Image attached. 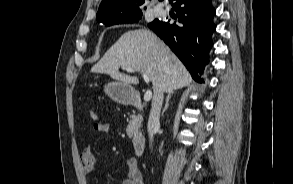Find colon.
I'll list each match as a JSON object with an SVG mask.
<instances>
[{
  "label": "colon",
  "instance_id": "5ec220e1",
  "mask_svg": "<svg viewBox=\"0 0 293 184\" xmlns=\"http://www.w3.org/2000/svg\"><path fill=\"white\" fill-rule=\"evenodd\" d=\"M89 114L93 120H95L97 118L96 112L94 110H90Z\"/></svg>",
  "mask_w": 293,
  "mask_h": 184
}]
</instances>
